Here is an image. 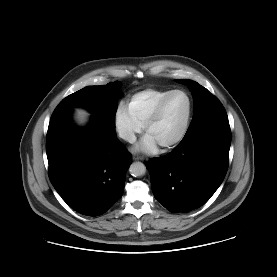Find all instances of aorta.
Returning <instances> with one entry per match:
<instances>
[{"label":"aorta","mask_w":277,"mask_h":277,"mask_svg":"<svg viewBox=\"0 0 277 277\" xmlns=\"http://www.w3.org/2000/svg\"><path fill=\"white\" fill-rule=\"evenodd\" d=\"M129 172L134 177L143 176L146 173V167L142 162H134L131 164Z\"/></svg>","instance_id":"obj_1"}]
</instances>
